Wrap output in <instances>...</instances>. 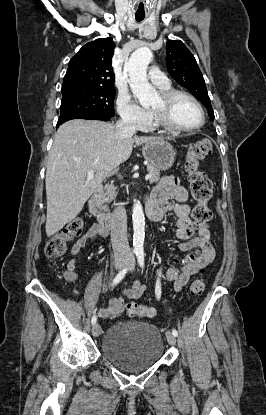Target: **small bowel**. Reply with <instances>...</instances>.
<instances>
[{
	"label": "small bowel",
	"mask_w": 266,
	"mask_h": 415,
	"mask_svg": "<svg viewBox=\"0 0 266 415\" xmlns=\"http://www.w3.org/2000/svg\"><path fill=\"white\" fill-rule=\"evenodd\" d=\"M174 199V202H171ZM188 192L182 185L181 180L177 176H167L153 188L146 200V210L148 216L153 220H161L167 214L173 213L177 217L176 237L181 240L178 248L183 252H189L178 261V266L168 268L164 272V279L172 282L174 291H180L185 286L191 276L195 275L205 267L210 265L215 258V251L210 242V232L207 226H200L195 229L191 225L189 217L190 206L187 203ZM108 235V231L101 226L92 225L72 246V258L67 262V270L65 276L70 281H77L75 269L78 265L76 256L87 245L88 242L101 238L104 239ZM146 286L140 281H135L133 285L124 290L123 296L111 299L106 308L99 310L101 318H116L121 315L127 300L139 298Z\"/></svg>",
	"instance_id": "obj_1"
}]
</instances>
